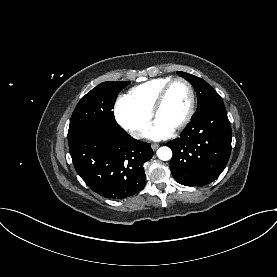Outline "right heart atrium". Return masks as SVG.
<instances>
[{"label": "right heart atrium", "instance_id": "right-heart-atrium-1", "mask_svg": "<svg viewBox=\"0 0 277 277\" xmlns=\"http://www.w3.org/2000/svg\"><path fill=\"white\" fill-rule=\"evenodd\" d=\"M117 123L133 138L144 136L150 125V115L140 111L127 96L120 97L114 107Z\"/></svg>", "mask_w": 277, "mask_h": 277}]
</instances>
